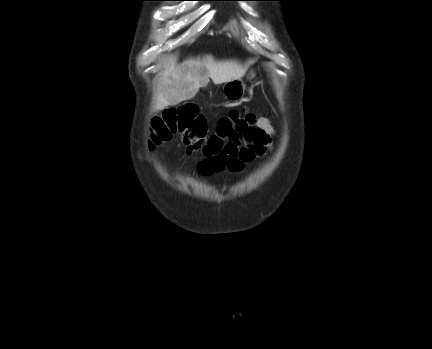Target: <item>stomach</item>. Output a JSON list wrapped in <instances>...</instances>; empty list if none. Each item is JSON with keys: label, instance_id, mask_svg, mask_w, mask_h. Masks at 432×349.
<instances>
[{"label": "stomach", "instance_id": "obj_1", "mask_svg": "<svg viewBox=\"0 0 432 349\" xmlns=\"http://www.w3.org/2000/svg\"><path fill=\"white\" fill-rule=\"evenodd\" d=\"M255 77V72L250 71L248 74V78L252 79ZM223 92L225 98L230 102H238L240 101L245 93V84L242 79H234L228 82H225L223 86Z\"/></svg>", "mask_w": 432, "mask_h": 349}]
</instances>
